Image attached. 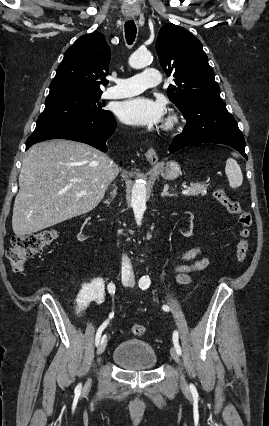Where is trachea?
<instances>
[{
  "mask_svg": "<svg viewBox=\"0 0 269 426\" xmlns=\"http://www.w3.org/2000/svg\"><path fill=\"white\" fill-rule=\"evenodd\" d=\"M136 32H137V29H136V25L134 21L132 20L127 21L125 23V37L129 45H131L134 42L136 38Z\"/></svg>",
  "mask_w": 269,
  "mask_h": 426,
  "instance_id": "obj_1",
  "label": "trachea"
}]
</instances>
